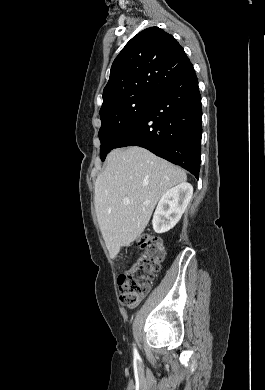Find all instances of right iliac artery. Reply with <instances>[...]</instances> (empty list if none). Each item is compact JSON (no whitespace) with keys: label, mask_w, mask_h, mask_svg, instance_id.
<instances>
[{"label":"right iliac artery","mask_w":265,"mask_h":390,"mask_svg":"<svg viewBox=\"0 0 265 390\" xmlns=\"http://www.w3.org/2000/svg\"><path fill=\"white\" fill-rule=\"evenodd\" d=\"M134 358L135 359H138L139 358V354H138V351L137 349L134 347Z\"/></svg>","instance_id":"obj_1"}]
</instances>
